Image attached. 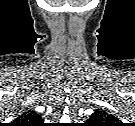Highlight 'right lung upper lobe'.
Here are the masks:
<instances>
[{
  "mask_svg": "<svg viewBox=\"0 0 135 126\" xmlns=\"http://www.w3.org/2000/svg\"><path fill=\"white\" fill-rule=\"evenodd\" d=\"M17 126H37L41 124L42 118L34 111H28L18 116L15 120Z\"/></svg>",
  "mask_w": 135,
  "mask_h": 126,
  "instance_id": "cb5924a9",
  "label": "right lung upper lobe"
}]
</instances>
